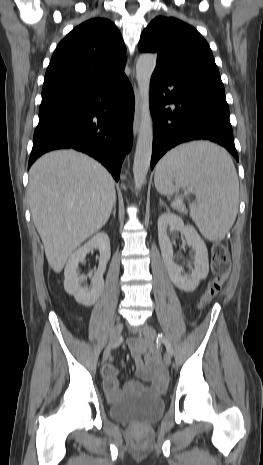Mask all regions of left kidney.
I'll use <instances>...</instances> for the list:
<instances>
[{"label": "left kidney", "instance_id": "left-kidney-1", "mask_svg": "<svg viewBox=\"0 0 263 465\" xmlns=\"http://www.w3.org/2000/svg\"><path fill=\"white\" fill-rule=\"evenodd\" d=\"M178 231L185 236L186 242L195 250L193 265L189 264L191 274H183V267L174 262L173 247L170 233ZM158 239L165 267L172 282L184 291H194L209 272L207 247L191 225H185L183 220L172 213L161 214L158 218Z\"/></svg>", "mask_w": 263, "mask_h": 465}]
</instances>
